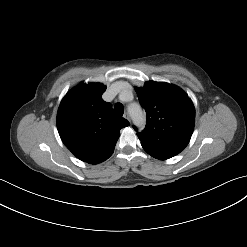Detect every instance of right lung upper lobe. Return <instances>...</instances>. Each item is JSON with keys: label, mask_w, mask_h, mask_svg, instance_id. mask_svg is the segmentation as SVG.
I'll return each instance as SVG.
<instances>
[{"label": "right lung upper lobe", "mask_w": 247, "mask_h": 247, "mask_svg": "<svg viewBox=\"0 0 247 247\" xmlns=\"http://www.w3.org/2000/svg\"><path fill=\"white\" fill-rule=\"evenodd\" d=\"M106 86L80 84L62 99L57 112V129L64 145L78 159L98 164L108 159L129 125L113 114L112 105L102 100Z\"/></svg>", "instance_id": "obj_1"}]
</instances>
